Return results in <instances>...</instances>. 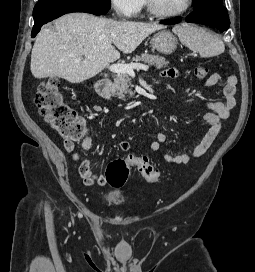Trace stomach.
<instances>
[{
    "label": "stomach",
    "mask_w": 255,
    "mask_h": 272,
    "mask_svg": "<svg viewBox=\"0 0 255 272\" xmlns=\"http://www.w3.org/2000/svg\"><path fill=\"white\" fill-rule=\"evenodd\" d=\"M154 49L164 55L172 54L177 48L176 37L167 30L157 32L151 39Z\"/></svg>",
    "instance_id": "0dacf381"
}]
</instances>
